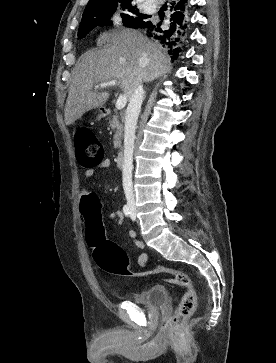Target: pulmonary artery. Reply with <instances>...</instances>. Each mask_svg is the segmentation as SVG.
Instances as JSON below:
<instances>
[{"label": "pulmonary artery", "mask_w": 276, "mask_h": 363, "mask_svg": "<svg viewBox=\"0 0 276 363\" xmlns=\"http://www.w3.org/2000/svg\"><path fill=\"white\" fill-rule=\"evenodd\" d=\"M150 1V0H149ZM145 7L148 8L147 11L148 12H153L155 9L153 8H149V2H145Z\"/></svg>", "instance_id": "e3ab8cb5"}]
</instances>
